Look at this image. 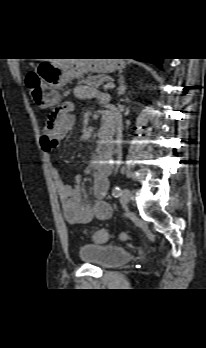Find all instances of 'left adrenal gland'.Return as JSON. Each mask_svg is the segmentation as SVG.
I'll return each mask as SVG.
<instances>
[{
    "instance_id": "left-adrenal-gland-1",
    "label": "left adrenal gland",
    "mask_w": 206,
    "mask_h": 348,
    "mask_svg": "<svg viewBox=\"0 0 206 348\" xmlns=\"http://www.w3.org/2000/svg\"><path fill=\"white\" fill-rule=\"evenodd\" d=\"M125 91H126V86H125L124 77L121 76L119 79L118 96L125 94Z\"/></svg>"
}]
</instances>
